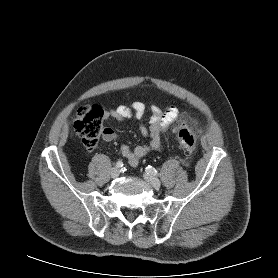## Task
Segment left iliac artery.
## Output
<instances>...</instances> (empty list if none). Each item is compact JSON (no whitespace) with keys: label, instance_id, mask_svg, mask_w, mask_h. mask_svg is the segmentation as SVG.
<instances>
[{"label":"left iliac artery","instance_id":"1","mask_svg":"<svg viewBox=\"0 0 278 278\" xmlns=\"http://www.w3.org/2000/svg\"><path fill=\"white\" fill-rule=\"evenodd\" d=\"M146 171H147V173H150V174H152L154 176H158L159 175L158 171L155 168H153L152 166H150V165H148L146 167Z\"/></svg>","mask_w":278,"mask_h":278}]
</instances>
